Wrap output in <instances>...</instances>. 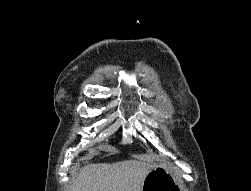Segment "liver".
Here are the masks:
<instances>
[{"label": "liver", "instance_id": "6515ba94", "mask_svg": "<svg viewBox=\"0 0 251 191\" xmlns=\"http://www.w3.org/2000/svg\"><path fill=\"white\" fill-rule=\"evenodd\" d=\"M154 167L141 159L89 163L73 179L70 191H142L145 175Z\"/></svg>", "mask_w": 251, "mask_h": 191}]
</instances>
